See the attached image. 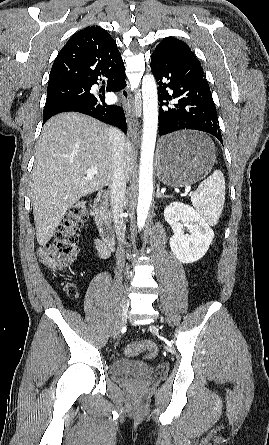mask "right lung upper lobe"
Here are the masks:
<instances>
[{
	"instance_id": "right-lung-upper-lobe-1",
	"label": "right lung upper lobe",
	"mask_w": 269,
	"mask_h": 445,
	"mask_svg": "<svg viewBox=\"0 0 269 445\" xmlns=\"http://www.w3.org/2000/svg\"><path fill=\"white\" fill-rule=\"evenodd\" d=\"M121 59L115 40L105 30L99 26L86 27L75 33L58 53L48 88L85 84Z\"/></svg>"
}]
</instances>
